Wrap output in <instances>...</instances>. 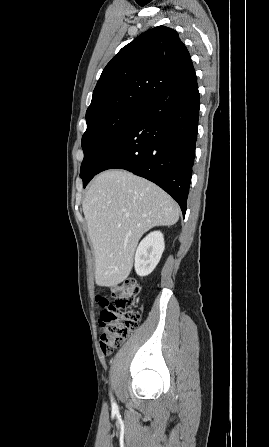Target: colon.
Returning a JSON list of instances; mask_svg holds the SVG:
<instances>
[{
  "label": "colon",
  "instance_id": "5ec220e1",
  "mask_svg": "<svg viewBox=\"0 0 269 447\" xmlns=\"http://www.w3.org/2000/svg\"><path fill=\"white\" fill-rule=\"evenodd\" d=\"M141 285L132 277L111 288L114 298L110 303L105 298H97L102 305L98 316L101 327L100 348L108 354L119 347L139 327L141 312L136 308L137 295Z\"/></svg>",
  "mask_w": 269,
  "mask_h": 447
}]
</instances>
